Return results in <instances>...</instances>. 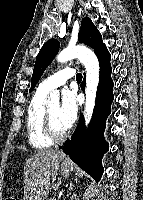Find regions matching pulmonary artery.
<instances>
[{
    "label": "pulmonary artery",
    "instance_id": "e3ab8cb5",
    "mask_svg": "<svg viewBox=\"0 0 143 200\" xmlns=\"http://www.w3.org/2000/svg\"><path fill=\"white\" fill-rule=\"evenodd\" d=\"M73 76H75V70L71 68H65L44 79L40 83L39 89L49 93L50 91L64 85L67 80Z\"/></svg>",
    "mask_w": 143,
    "mask_h": 200
}]
</instances>
